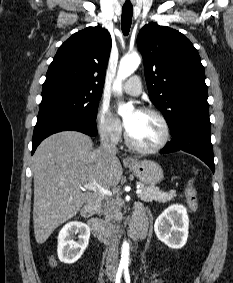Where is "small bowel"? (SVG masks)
<instances>
[{
	"label": "small bowel",
	"mask_w": 233,
	"mask_h": 283,
	"mask_svg": "<svg viewBox=\"0 0 233 283\" xmlns=\"http://www.w3.org/2000/svg\"><path fill=\"white\" fill-rule=\"evenodd\" d=\"M142 217V219H140L139 217ZM142 220L143 222L146 223V219L144 218L143 212L141 210H137L135 213V217H134V225L139 221ZM152 283H162V281L159 278H156Z\"/></svg>",
	"instance_id": "c3829d8e"
}]
</instances>
